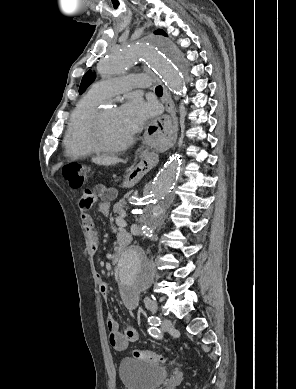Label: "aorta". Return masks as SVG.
<instances>
[{"mask_svg": "<svg viewBox=\"0 0 296 389\" xmlns=\"http://www.w3.org/2000/svg\"><path fill=\"white\" fill-rule=\"evenodd\" d=\"M135 62L151 66L171 91L184 94L187 65L178 48L166 38H150L121 46L100 62L97 71L102 77L121 75ZM180 166V157L175 155L154 179L141 225L144 234L151 233L158 226L170 206ZM154 276L155 268L141 245L133 244L123 252L119 263V280L124 289L133 293L147 290Z\"/></svg>", "mask_w": 296, "mask_h": 389, "instance_id": "1", "label": "aorta"}]
</instances>
